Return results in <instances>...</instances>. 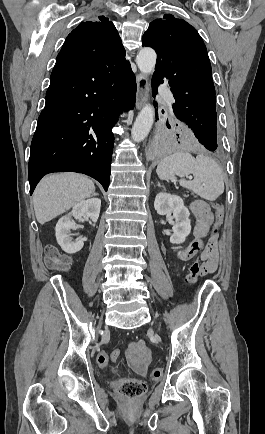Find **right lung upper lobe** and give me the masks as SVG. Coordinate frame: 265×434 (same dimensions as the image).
<instances>
[{"instance_id":"1","label":"right lung upper lobe","mask_w":265,"mask_h":434,"mask_svg":"<svg viewBox=\"0 0 265 434\" xmlns=\"http://www.w3.org/2000/svg\"><path fill=\"white\" fill-rule=\"evenodd\" d=\"M124 56L125 50L114 24L108 18L99 16L93 21L80 23L72 30L56 58V64L104 63Z\"/></svg>"}]
</instances>
